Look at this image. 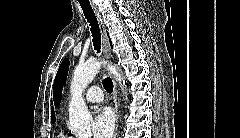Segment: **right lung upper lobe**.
Listing matches in <instances>:
<instances>
[{
  "label": "right lung upper lobe",
  "mask_w": 240,
  "mask_h": 138,
  "mask_svg": "<svg viewBox=\"0 0 240 138\" xmlns=\"http://www.w3.org/2000/svg\"><path fill=\"white\" fill-rule=\"evenodd\" d=\"M51 121L52 123H55V113H54V108H51Z\"/></svg>",
  "instance_id": "1"
}]
</instances>
